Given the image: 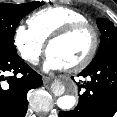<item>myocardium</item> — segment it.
<instances>
[{
	"mask_svg": "<svg viewBox=\"0 0 117 117\" xmlns=\"http://www.w3.org/2000/svg\"><path fill=\"white\" fill-rule=\"evenodd\" d=\"M85 30L89 31L92 36V44L90 50L88 54L81 61L75 63L70 67H67L68 70L75 72L85 69L91 64V62L95 58L99 47V33L96 27L89 22L75 23L60 29L58 32L53 34L47 41L46 52L49 53V49L52 44L62 41L80 31H85Z\"/></svg>",
	"mask_w": 117,
	"mask_h": 117,
	"instance_id": "1",
	"label": "myocardium"
}]
</instances>
